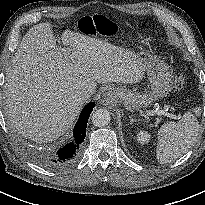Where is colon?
<instances>
[{
    "mask_svg": "<svg viewBox=\"0 0 205 205\" xmlns=\"http://www.w3.org/2000/svg\"><path fill=\"white\" fill-rule=\"evenodd\" d=\"M88 25L82 28L83 32H91L105 36L108 34L110 28L109 21L101 15H92L87 17ZM138 27L141 31L146 32L151 29L152 22L149 19L141 20L138 23ZM184 78L182 76H176L174 79V88L180 91L184 87Z\"/></svg>",
    "mask_w": 205,
    "mask_h": 205,
    "instance_id": "5ec220e1",
    "label": "colon"
}]
</instances>
